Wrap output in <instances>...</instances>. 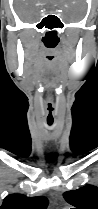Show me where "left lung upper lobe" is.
I'll list each match as a JSON object with an SVG mask.
<instances>
[{
  "instance_id": "5c2ea615",
  "label": "left lung upper lobe",
  "mask_w": 98,
  "mask_h": 209,
  "mask_svg": "<svg viewBox=\"0 0 98 209\" xmlns=\"http://www.w3.org/2000/svg\"><path fill=\"white\" fill-rule=\"evenodd\" d=\"M65 200L74 209H98V188L87 185L78 190L67 191L63 194Z\"/></svg>"
}]
</instances>
